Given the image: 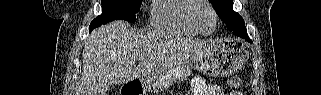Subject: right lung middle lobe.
Here are the masks:
<instances>
[{
	"mask_svg": "<svg viewBox=\"0 0 321 95\" xmlns=\"http://www.w3.org/2000/svg\"><path fill=\"white\" fill-rule=\"evenodd\" d=\"M102 14L90 24L89 31L113 20L136 21L142 0H101Z\"/></svg>",
	"mask_w": 321,
	"mask_h": 95,
	"instance_id": "right-lung-middle-lobe-1",
	"label": "right lung middle lobe"
}]
</instances>
